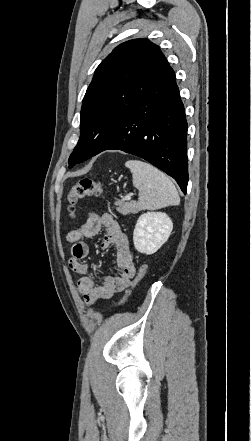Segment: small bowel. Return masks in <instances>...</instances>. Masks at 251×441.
<instances>
[{"label": "small bowel", "mask_w": 251, "mask_h": 441, "mask_svg": "<svg viewBox=\"0 0 251 441\" xmlns=\"http://www.w3.org/2000/svg\"><path fill=\"white\" fill-rule=\"evenodd\" d=\"M102 228L105 234L101 246L103 249L114 248L118 274L107 276L98 284L89 275V266L84 261L90 252L89 246L84 240L96 236ZM66 240L72 244L68 265L73 272L80 275L77 287L88 306L98 300L109 299L128 287L135 274L133 252L127 235L111 214L98 215L89 212L85 222L79 228L67 233Z\"/></svg>", "instance_id": "c3829d8e"}]
</instances>
